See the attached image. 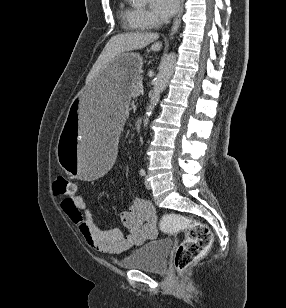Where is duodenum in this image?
<instances>
[{"label":"duodenum","instance_id":"duodenum-1","mask_svg":"<svg viewBox=\"0 0 286 308\" xmlns=\"http://www.w3.org/2000/svg\"><path fill=\"white\" fill-rule=\"evenodd\" d=\"M141 120H137L136 122H135V128H136V130H140L141 129Z\"/></svg>","mask_w":286,"mask_h":308}]
</instances>
